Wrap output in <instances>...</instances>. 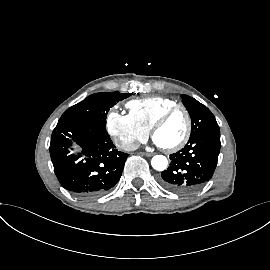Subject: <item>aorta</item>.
Here are the masks:
<instances>
[{
	"mask_svg": "<svg viewBox=\"0 0 270 270\" xmlns=\"http://www.w3.org/2000/svg\"><path fill=\"white\" fill-rule=\"evenodd\" d=\"M151 165L157 171H164L167 168L168 160L163 155H155L151 160Z\"/></svg>",
	"mask_w": 270,
	"mask_h": 270,
	"instance_id": "1",
	"label": "aorta"
}]
</instances>
